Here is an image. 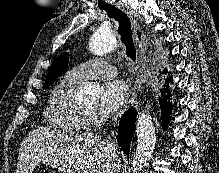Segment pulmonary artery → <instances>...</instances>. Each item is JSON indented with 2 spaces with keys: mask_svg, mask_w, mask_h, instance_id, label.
Returning a JSON list of instances; mask_svg holds the SVG:
<instances>
[{
  "mask_svg": "<svg viewBox=\"0 0 219 173\" xmlns=\"http://www.w3.org/2000/svg\"><path fill=\"white\" fill-rule=\"evenodd\" d=\"M116 69L106 59L100 57L90 58L70 69L66 77L78 84L89 79H104L115 75Z\"/></svg>",
  "mask_w": 219,
  "mask_h": 173,
  "instance_id": "1",
  "label": "pulmonary artery"
}]
</instances>
